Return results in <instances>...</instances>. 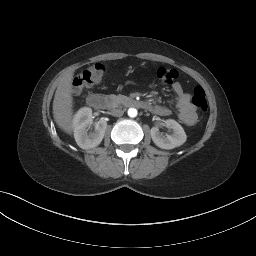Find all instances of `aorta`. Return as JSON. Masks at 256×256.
Masks as SVG:
<instances>
[{"label": "aorta", "instance_id": "obj_1", "mask_svg": "<svg viewBox=\"0 0 256 256\" xmlns=\"http://www.w3.org/2000/svg\"><path fill=\"white\" fill-rule=\"evenodd\" d=\"M137 114H138L137 109H135V108H129L128 109V116L129 117L134 118V117L137 116Z\"/></svg>", "mask_w": 256, "mask_h": 256}]
</instances>
